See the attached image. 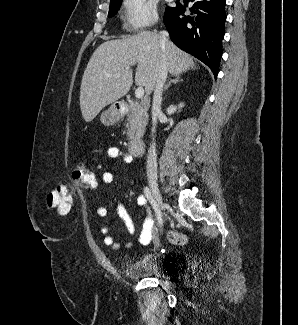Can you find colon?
Returning <instances> with one entry per match:
<instances>
[{
  "instance_id": "5ec220e1",
  "label": "colon",
  "mask_w": 298,
  "mask_h": 325,
  "mask_svg": "<svg viewBox=\"0 0 298 325\" xmlns=\"http://www.w3.org/2000/svg\"><path fill=\"white\" fill-rule=\"evenodd\" d=\"M74 186L81 189L94 188L97 184L96 173L85 161H79L72 172ZM48 207L55 209L60 215L69 212L72 205V188L69 186H59L51 191L46 197ZM168 239L174 244H183L186 241L184 235L170 231Z\"/></svg>"
}]
</instances>
